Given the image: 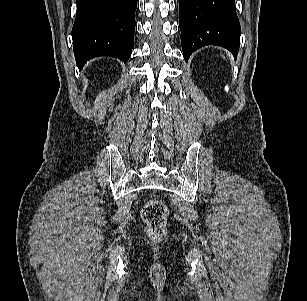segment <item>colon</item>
<instances>
[{
    "instance_id": "1",
    "label": "colon",
    "mask_w": 307,
    "mask_h": 301,
    "mask_svg": "<svg viewBox=\"0 0 307 301\" xmlns=\"http://www.w3.org/2000/svg\"><path fill=\"white\" fill-rule=\"evenodd\" d=\"M167 217L168 209L160 200H150L142 209V218L148 226V232L156 239L164 235Z\"/></svg>"
}]
</instances>
